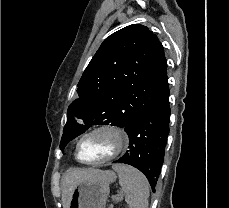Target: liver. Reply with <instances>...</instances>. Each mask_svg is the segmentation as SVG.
<instances>
[{
    "label": "liver",
    "instance_id": "6515ba94",
    "mask_svg": "<svg viewBox=\"0 0 229 208\" xmlns=\"http://www.w3.org/2000/svg\"><path fill=\"white\" fill-rule=\"evenodd\" d=\"M103 172L101 170H94V168H87V170H82V168H75V170H70L68 174L63 176L62 184V204L63 208H69L70 196L72 192L80 182H85V180H94V178H100Z\"/></svg>",
    "mask_w": 229,
    "mask_h": 208
}]
</instances>
